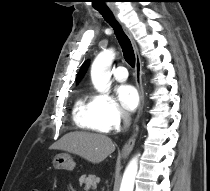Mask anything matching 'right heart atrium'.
<instances>
[{
	"label": "right heart atrium",
	"instance_id": "right-heart-atrium-1",
	"mask_svg": "<svg viewBox=\"0 0 210 191\" xmlns=\"http://www.w3.org/2000/svg\"><path fill=\"white\" fill-rule=\"evenodd\" d=\"M93 101L100 119L109 129H118L127 121V114L114 99L97 95Z\"/></svg>",
	"mask_w": 210,
	"mask_h": 191
}]
</instances>
